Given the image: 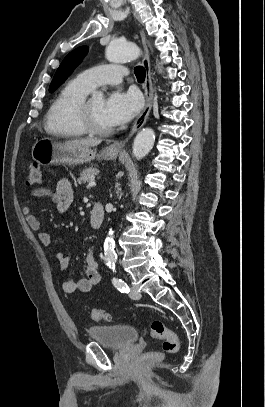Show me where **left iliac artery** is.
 Segmentation results:
<instances>
[{"label": "left iliac artery", "mask_w": 265, "mask_h": 407, "mask_svg": "<svg viewBox=\"0 0 265 407\" xmlns=\"http://www.w3.org/2000/svg\"><path fill=\"white\" fill-rule=\"evenodd\" d=\"M112 283L120 292H122V293L130 292L129 286L122 279L114 278L112 280Z\"/></svg>", "instance_id": "obj_1"}]
</instances>
